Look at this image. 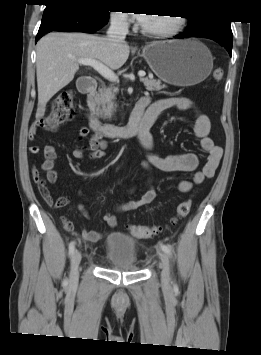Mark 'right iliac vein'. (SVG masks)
<instances>
[{
  "instance_id": "63e3f726",
  "label": "right iliac vein",
  "mask_w": 261,
  "mask_h": 355,
  "mask_svg": "<svg viewBox=\"0 0 261 355\" xmlns=\"http://www.w3.org/2000/svg\"><path fill=\"white\" fill-rule=\"evenodd\" d=\"M81 253L76 250L73 253L72 259H71V269H70V285L71 286H76L78 283L79 279V265L81 262Z\"/></svg>"
}]
</instances>
